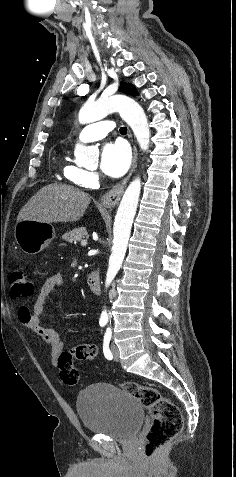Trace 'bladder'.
Instances as JSON below:
<instances>
[{"label": "bladder", "instance_id": "bladder-1", "mask_svg": "<svg viewBox=\"0 0 236 477\" xmlns=\"http://www.w3.org/2000/svg\"><path fill=\"white\" fill-rule=\"evenodd\" d=\"M77 410L85 429L115 440H130L140 428L143 405L122 388L95 383L77 397Z\"/></svg>", "mask_w": 236, "mask_h": 477}]
</instances>
